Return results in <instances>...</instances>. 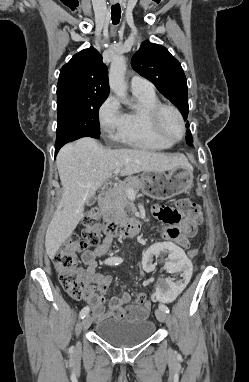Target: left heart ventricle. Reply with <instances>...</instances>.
Returning a JSON list of instances; mask_svg holds the SVG:
<instances>
[{"mask_svg":"<svg viewBox=\"0 0 249 382\" xmlns=\"http://www.w3.org/2000/svg\"><path fill=\"white\" fill-rule=\"evenodd\" d=\"M164 130L171 137H179L181 134V124L177 116L171 111H165L162 117Z\"/></svg>","mask_w":249,"mask_h":382,"instance_id":"1","label":"left heart ventricle"}]
</instances>
